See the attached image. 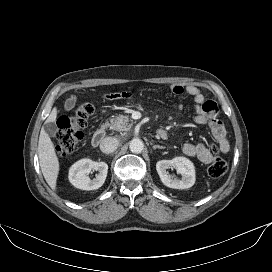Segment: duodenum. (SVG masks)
I'll use <instances>...</instances> for the list:
<instances>
[{
  "mask_svg": "<svg viewBox=\"0 0 272 272\" xmlns=\"http://www.w3.org/2000/svg\"><path fill=\"white\" fill-rule=\"evenodd\" d=\"M157 136L161 139H166L167 133L163 130H158ZM105 137H106V131L104 128L97 130L92 137L93 146H99Z\"/></svg>",
  "mask_w": 272,
  "mask_h": 272,
  "instance_id": "410a0bca",
  "label": "duodenum"
}]
</instances>
